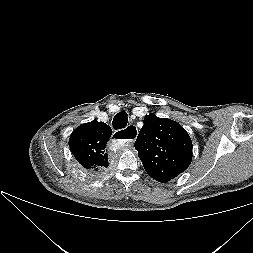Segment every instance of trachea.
I'll use <instances>...</instances> for the list:
<instances>
[{
    "mask_svg": "<svg viewBox=\"0 0 253 253\" xmlns=\"http://www.w3.org/2000/svg\"><path fill=\"white\" fill-rule=\"evenodd\" d=\"M128 123L127 113L122 111L115 115L112 124L115 130L125 128Z\"/></svg>",
    "mask_w": 253,
    "mask_h": 253,
    "instance_id": "trachea-1",
    "label": "trachea"
}]
</instances>
